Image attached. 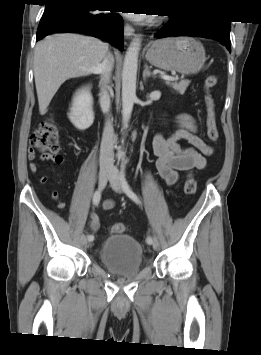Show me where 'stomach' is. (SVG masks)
Segmentation results:
<instances>
[{
    "label": "stomach",
    "instance_id": "1",
    "mask_svg": "<svg viewBox=\"0 0 261 355\" xmlns=\"http://www.w3.org/2000/svg\"><path fill=\"white\" fill-rule=\"evenodd\" d=\"M146 60L165 71L181 74L199 72L206 61L203 45L191 37H170L154 41L148 48Z\"/></svg>",
    "mask_w": 261,
    "mask_h": 355
}]
</instances>
